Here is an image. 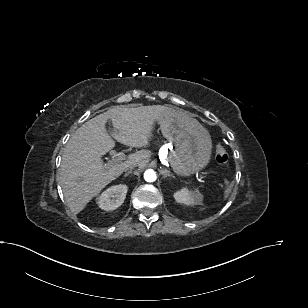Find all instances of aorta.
<instances>
[{
    "label": "aorta",
    "instance_id": "obj_1",
    "mask_svg": "<svg viewBox=\"0 0 308 308\" xmlns=\"http://www.w3.org/2000/svg\"><path fill=\"white\" fill-rule=\"evenodd\" d=\"M157 176L154 170L148 169L144 173V179L146 182H154L156 180Z\"/></svg>",
    "mask_w": 308,
    "mask_h": 308
}]
</instances>
